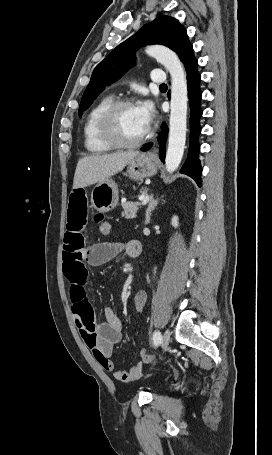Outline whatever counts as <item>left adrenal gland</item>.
Returning <instances> with one entry per match:
<instances>
[{
  "label": "left adrenal gland",
  "mask_w": 272,
  "mask_h": 455,
  "mask_svg": "<svg viewBox=\"0 0 272 455\" xmlns=\"http://www.w3.org/2000/svg\"><path fill=\"white\" fill-rule=\"evenodd\" d=\"M158 201H159L158 199L154 198L153 194L150 196V201H149V204H148V208L146 210V221H145V224H149L150 223L151 213L155 209V207L157 206Z\"/></svg>",
  "instance_id": "a2214340"
}]
</instances>
